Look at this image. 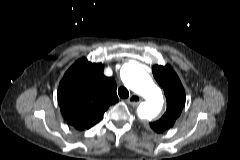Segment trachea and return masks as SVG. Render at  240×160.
<instances>
[{"mask_svg":"<svg viewBox=\"0 0 240 160\" xmlns=\"http://www.w3.org/2000/svg\"><path fill=\"white\" fill-rule=\"evenodd\" d=\"M118 95L120 96V98L126 99L129 96V92L124 86H121L118 89Z\"/></svg>","mask_w":240,"mask_h":160,"instance_id":"trachea-1","label":"trachea"}]
</instances>
